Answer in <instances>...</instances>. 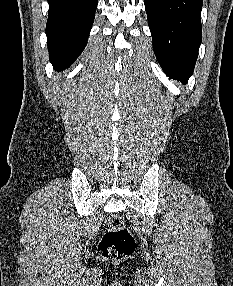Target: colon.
I'll list each match as a JSON object with an SVG mask.
<instances>
[{"instance_id":"1","label":"colon","mask_w":233,"mask_h":286,"mask_svg":"<svg viewBox=\"0 0 233 286\" xmlns=\"http://www.w3.org/2000/svg\"><path fill=\"white\" fill-rule=\"evenodd\" d=\"M135 248V239L119 215H111L106 231L99 243V252L107 260H119L130 255Z\"/></svg>"}]
</instances>
